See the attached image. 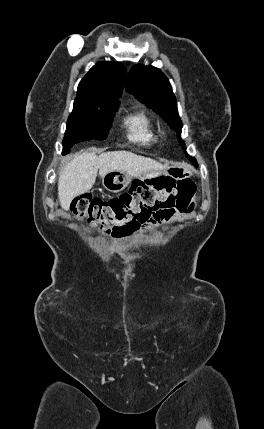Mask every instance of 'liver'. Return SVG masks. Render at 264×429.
Here are the masks:
<instances>
[{
	"instance_id": "liver-1",
	"label": "liver",
	"mask_w": 264,
	"mask_h": 429,
	"mask_svg": "<svg viewBox=\"0 0 264 429\" xmlns=\"http://www.w3.org/2000/svg\"><path fill=\"white\" fill-rule=\"evenodd\" d=\"M161 163L128 151H114L96 156L94 152L76 155L61 169L58 178V198L64 210L72 200L94 185L97 172L103 177L110 171H122L130 177H139L149 171H161Z\"/></svg>"
}]
</instances>
